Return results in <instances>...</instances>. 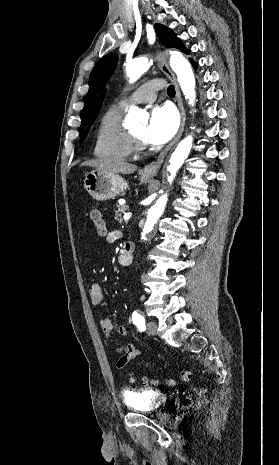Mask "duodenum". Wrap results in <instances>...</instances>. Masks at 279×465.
<instances>
[{"instance_id":"410a0bca","label":"duodenum","mask_w":279,"mask_h":465,"mask_svg":"<svg viewBox=\"0 0 279 465\" xmlns=\"http://www.w3.org/2000/svg\"><path fill=\"white\" fill-rule=\"evenodd\" d=\"M133 244L128 242L124 245L120 255L119 263L121 265H129L132 262Z\"/></svg>"}]
</instances>
